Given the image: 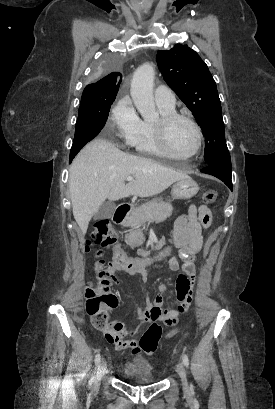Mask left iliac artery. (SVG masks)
<instances>
[{
	"mask_svg": "<svg viewBox=\"0 0 275 409\" xmlns=\"http://www.w3.org/2000/svg\"><path fill=\"white\" fill-rule=\"evenodd\" d=\"M182 360H183L184 365L186 367H188L189 366V359H188V356L186 354L182 355Z\"/></svg>",
	"mask_w": 275,
	"mask_h": 409,
	"instance_id": "obj_1",
	"label": "left iliac artery"
}]
</instances>
